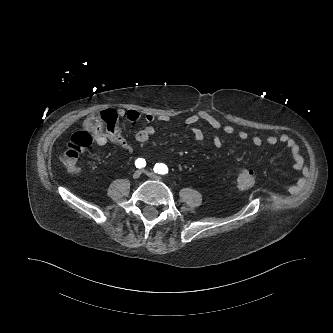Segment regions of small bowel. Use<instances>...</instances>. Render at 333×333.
<instances>
[{
  "label": "small bowel",
  "mask_w": 333,
  "mask_h": 333,
  "mask_svg": "<svg viewBox=\"0 0 333 333\" xmlns=\"http://www.w3.org/2000/svg\"><path fill=\"white\" fill-rule=\"evenodd\" d=\"M120 115L122 117H125L130 122H139L140 120H143L147 123V125L141 130H139L135 135V140L140 144L147 143L149 139L155 134L156 129L152 125L155 121L158 120L160 122L165 123L168 122L169 120V118L166 115H154L152 113H147L143 115L140 112L132 109L127 111H121ZM201 122L208 124L218 133H223L225 135H236L242 141L249 139V134L246 131L244 130L236 131L233 126L222 123L211 114L207 112H198L188 116L184 120V125L192 129L193 137L197 141H201L204 138L203 132L198 127H196V125ZM218 133H215L213 135L212 141L214 147L220 149L223 146V140ZM108 141L118 145L123 149L126 150L131 149L129 142L122 135L121 130L119 129L118 126L113 134H110L106 139H98L96 142L100 145H103L106 144ZM251 142L256 147H261L264 143L270 146H275L279 143L285 145L291 153L293 167L296 170L304 169V159L300 151V146L287 133H281L279 135H266L264 137L255 135L251 138ZM251 172L254 173L253 171ZM301 184L302 181L300 180L296 184L292 185V189L295 190Z\"/></svg>",
  "instance_id": "small-bowel-1"
}]
</instances>
